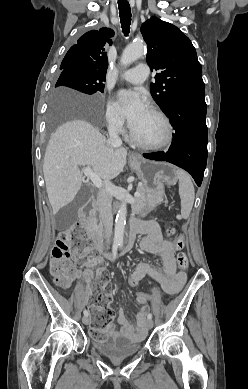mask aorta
Returning a JSON list of instances; mask_svg holds the SVG:
<instances>
[{"label":"aorta","mask_w":248,"mask_h":389,"mask_svg":"<svg viewBox=\"0 0 248 389\" xmlns=\"http://www.w3.org/2000/svg\"><path fill=\"white\" fill-rule=\"evenodd\" d=\"M145 53V45L143 43H133L128 45L121 56L120 63L123 66H128ZM127 204L122 202L115 219L114 229V244L116 246H123L124 229L126 224Z\"/></svg>","instance_id":"1"}]
</instances>
